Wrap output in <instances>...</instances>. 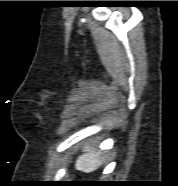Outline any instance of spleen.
<instances>
[{"label":"spleen","mask_w":178,"mask_h":186,"mask_svg":"<svg viewBox=\"0 0 178 186\" xmlns=\"http://www.w3.org/2000/svg\"><path fill=\"white\" fill-rule=\"evenodd\" d=\"M83 156L80 157L76 167L84 172L96 170L102 163V158L99 153H96L92 147H86Z\"/></svg>","instance_id":"spleen-1"}]
</instances>
